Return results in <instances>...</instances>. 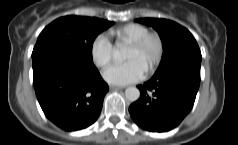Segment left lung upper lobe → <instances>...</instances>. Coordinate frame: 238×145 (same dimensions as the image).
Wrapping results in <instances>:
<instances>
[{"label":"left lung upper lobe","mask_w":238,"mask_h":145,"mask_svg":"<svg viewBox=\"0 0 238 145\" xmlns=\"http://www.w3.org/2000/svg\"><path fill=\"white\" fill-rule=\"evenodd\" d=\"M152 26L160 35L163 55L156 72L167 71L188 62H201V52L193 35L178 23L157 18L136 20Z\"/></svg>","instance_id":"1"}]
</instances>
